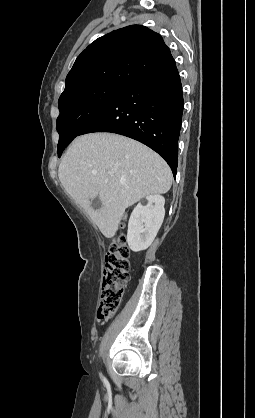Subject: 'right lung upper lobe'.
<instances>
[{
  "label": "right lung upper lobe",
  "instance_id": "1",
  "mask_svg": "<svg viewBox=\"0 0 255 418\" xmlns=\"http://www.w3.org/2000/svg\"><path fill=\"white\" fill-rule=\"evenodd\" d=\"M174 64L161 35L141 25L127 26L98 38L77 57L62 94L96 81L129 85Z\"/></svg>",
  "mask_w": 255,
  "mask_h": 418
}]
</instances>
